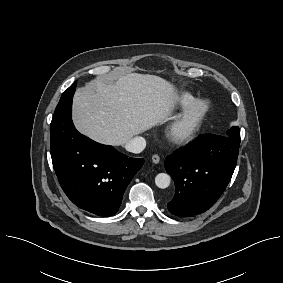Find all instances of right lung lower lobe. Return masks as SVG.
<instances>
[{
    "label": "right lung lower lobe",
    "mask_w": 283,
    "mask_h": 283,
    "mask_svg": "<svg viewBox=\"0 0 283 283\" xmlns=\"http://www.w3.org/2000/svg\"><path fill=\"white\" fill-rule=\"evenodd\" d=\"M76 83L62 94L50 126L55 173L68 198L99 216L114 215L124 191L144 160L129 158L112 146L80 134L71 119Z\"/></svg>",
    "instance_id": "right-lung-lower-lobe-1"
}]
</instances>
